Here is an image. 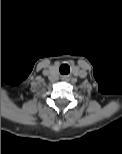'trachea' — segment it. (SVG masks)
Instances as JSON below:
<instances>
[{
	"label": "trachea",
	"instance_id": "3493384b",
	"mask_svg": "<svg viewBox=\"0 0 122 154\" xmlns=\"http://www.w3.org/2000/svg\"><path fill=\"white\" fill-rule=\"evenodd\" d=\"M65 70H67V72L66 73H64V71ZM69 72V66L68 65H62L61 67H60V73L61 74H67Z\"/></svg>",
	"mask_w": 122,
	"mask_h": 154
}]
</instances>
